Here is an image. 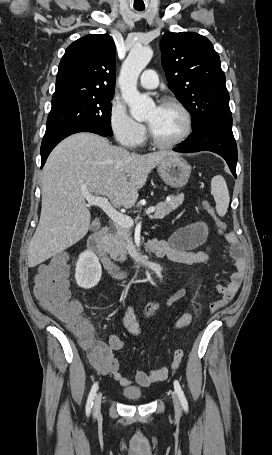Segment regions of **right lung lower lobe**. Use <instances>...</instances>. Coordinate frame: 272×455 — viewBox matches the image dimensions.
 Returning <instances> with one entry per match:
<instances>
[{
    "mask_svg": "<svg viewBox=\"0 0 272 455\" xmlns=\"http://www.w3.org/2000/svg\"><path fill=\"white\" fill-rule=\"evenodd\" d=\"M78 132H92L99 134L104 137H108L109 135L101 130L100 128L93 126V125H71V126H63L58 127L51 130H46L45 135L43 137V141L41 144V168L44 166L45 161L52 151V149L64 138Z\"/></svg>",
    "mask_w": 272,
    "mask_h": 455,
    "instance_id": "98d812e1",
    "label": "right lung lower lobe"
}]
</instances>
